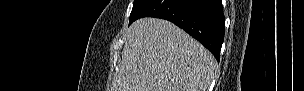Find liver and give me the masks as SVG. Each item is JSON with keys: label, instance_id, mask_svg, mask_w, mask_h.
I'll use <instances>...</instances> for the list:
<instances>
[{"label": "liver", "instance_id": "1", "mask_svg": "<svg viewBox=\"0 0 304 91\" xmlns=\"http://www.w3.org/2000/svg\"><path fill=\"white\" fill-rule=\"evenodd\" d=\"M217 63L173 23L142 18L128 29L112 91H206Z\"/></svg>", "mask_w": 304, "mask_h": 91}]
</instances>
